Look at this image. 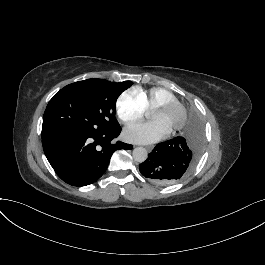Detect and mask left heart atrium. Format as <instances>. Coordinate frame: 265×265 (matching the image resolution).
Wrapping results in <instances>:
<instances>
[{
  "mask_svg": "<svg viewBox=\"0 0 265 265\" xmlns=\"http://www.w3.org/2000/svg\"><path fill=\"white\" fill-rule=\"evenodd\" d=\"M168 129L159 122L136 123L125 128L123 138L128 142L148 144L164 139Z\"/></svg>",
  "mask_w": 265,
  "mask_h": 265,
  "instance_id": "39dd6f15",
  "label": "left heart atrium"
}]
</instances>
